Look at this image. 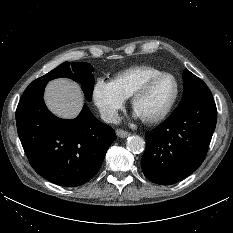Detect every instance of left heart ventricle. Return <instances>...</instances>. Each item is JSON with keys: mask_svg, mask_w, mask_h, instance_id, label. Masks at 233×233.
Masks as SVG:
<instances>
[{"mask_svg": "<svg viewBox=\"0 0 233 233\" xmlns=\"http://www.w3.org/2000/svg\"><path fill=\"white\" fill-rule=\"evenodd\" d=\"M174 91L175 84L172 78L159 79L137 101L134 113L141 118H150L160 114L172 99Z\"/></svg>", "mask_w": 233, "mask_h": 233, "instance_id": "b2bd125f", "label": "left heart ventricle"}]
</instances>
